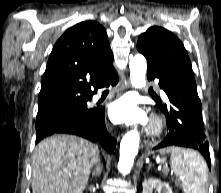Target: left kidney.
I'll list each match as a JSON object with an SVG mask.
<instances>
[{
  "mask_svg": "<svg viewBox=\"0 0 221 193\" xmlns=\"http://www.w3.org/2000/svg\"><path fill=\"white\" fill-rule=\"evenodd\" d=\"M143 192L142 193H152L153 188H155L158 193H173L170 186L166 183L161 182V180L149 178L145 179L142 183Z\"/></svg>",
  "mask_w": 221,
  "mask_h": 193,
  "instance_id": "1",
  "label": "left kidney"
}]
</instances>
